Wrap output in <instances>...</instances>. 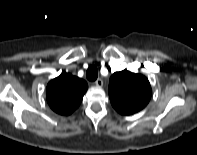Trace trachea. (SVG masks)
<instances>
[{"label": "trachea", "mask_w": 197, "mask_h": 155, "mask_svg": "<svg viewBox=\"0 0 197 155\" xmlns=\"http://www.w3.org/2000/svg\"><path fill=\"white\" fill-rule=\"evenodd\" d=\"M86 77L89 81H95L98 77V69L95 66H90L86 71Z\"/></svg>", "instance_id": "obj_1"}]
</instances>
